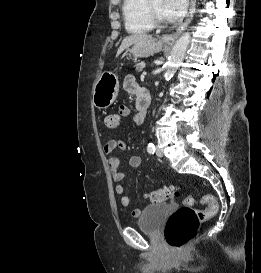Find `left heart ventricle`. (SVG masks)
<instances>
[{
  "instance_id": "1",
  "label": "left heart ventricle",
  "mask_w": 261,
  "mask_h": 273,
  "mask_svg": "<svg viewBox=\"0 0 261 273\" xmlns=\"http://www.w3.org/2000/svg\"><path fill=\"white\" fill-rule=\"evenodd\" d=\"M152 5L160 18L164 21H167L163 12V0H152Z\"/></svg>"
}]
</instances>
